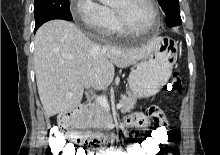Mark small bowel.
Wrapping results in <instances>:
<instances>
[{
	"mask_svg": "<svg viewBox=\"0 0 220 155\" xmlns=\"http://www.w3.org/2000/svg\"><path fill=\"white\" fill-rule=\"evenodd\" d=\"M148 113H152L150 114L151 116L153 115L154 119H161L162 123H166L167 127L166 129H168V134L169 135V139H170V127L169 124L166 120V118L164 117L163 113L158 109L157 105H150L148 108ZM125 124L127 126H131V127H135L141 130H146L147 129V125H149V120L147 118L146 115L144 114H135L133 116H129L125 119ZM100 139V140H99ZM102 138L98 137V136H93L92 140H88L87 144L88 145H108V140H101ZM145 139V137L143 138ZM166 145V144H162ZM131 147H127L126 150H121L118 148H110L107 149L105 151L102 152L101 155H134L133 152H131ZM161 150V147H160Z\"/></svg>",
	"mask_w": 220,
	"mask_h": 155,
	"instance_id": "small-bowel-1",
	"label": "small bowel"
}]
</instances>
